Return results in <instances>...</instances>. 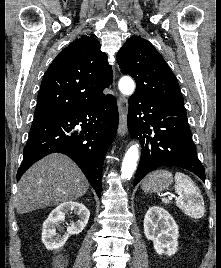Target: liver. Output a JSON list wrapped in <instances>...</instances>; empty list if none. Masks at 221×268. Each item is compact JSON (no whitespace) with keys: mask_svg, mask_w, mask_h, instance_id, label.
I'll return each mask as SVG.
<instances>
[{"mask_svg":"<svg viewBox=\"0 0 221 268\" xmlns=\"http://www.w3.org/2000/svg\"><path fill=\"white\" fill-rule=\"evenodd\" d=\"M89 182L67 156L51 154L35 163L22 176L16 194L19 214L74 201L82 197Z\"/></svg>","mask_w":221,"mask_h":268,"instance_id":"obj_1","label":"liver"}]
</instances>
